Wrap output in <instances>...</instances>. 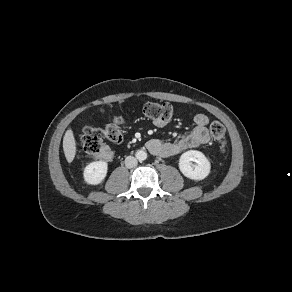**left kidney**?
<instances>
[{"instance_id":"5707ae66","label":"left kidney","mask_w":292,"mask_h":292,"mask_svg":"<svg viewBox=\"0 0 292 292\" xmlns=\"http://www.w3.org/2000/svg\"><path fill=\"white\" fill-rule=\"evenodd\" d=\"M179 169L182 174L189 179L203 180L209 175L211 165L202 152L189 150L181 155L179 159Z\"/></svg>"}]
</instances>
